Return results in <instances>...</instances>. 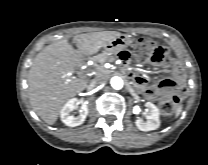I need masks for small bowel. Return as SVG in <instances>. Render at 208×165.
I'll use <instances>...</instances> for the list:
<instances>
[{
    "instance_id": "obj_1",
    "label": "small bowel",
    "mask_w": 208,
    "mask_h": 165,
    "mask_svg": "<svg viewBox=\"0 0 208 165\" xmlns=\"http://www.w3.org/2000/svg\"><path fill=\"white\" fill-rule=\"evenodd\" d=\"M182 74L177 69H173L172 73L159 74L154 82V86L148 85L147 80L143 76H136L135 83L143 89L146 96L150 99L156 98L158 95L169 97L174 95L182 81Z\"/></svg>"
}]
</instances>
